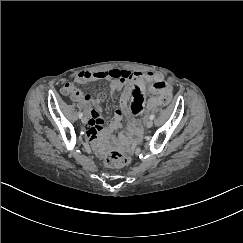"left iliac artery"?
<instances>
[{"label":"left iliac artery","mask_w":243,"mask_h":243,"mask_svg":"<svg viewBox=\"0 0 243 243\" xmlns=\"http://www.w3.org/2000/svg\"><path fill=\"white\" fill-rule=\"evenodd\" d=\"M155 118V115L154 114H151L150 115V119L153 120Z\"/></svg>","instance_id":"1"}]
</instances>
